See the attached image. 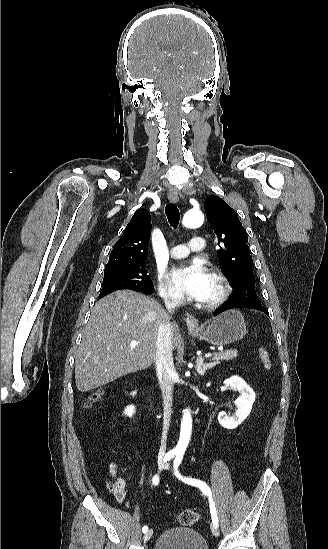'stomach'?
<instances>
[{"label": "stomach", "instance_id": "stomach-1", "mask_svg": "<svg viewBox=\"0 0 328 549\" xmlns=\"http://www.w3.org/2000/svg\"><path fill=\"white\" fill-rule=\"evenodd\" d=\"M246 333V323L242 313L237 309H229V311L213 317L208 327L199 331V339L207 341L211 345L223 347V345L241 341Z\"/></svg>", "mask_w": 328, "mask_h": 549}]
</instances>
